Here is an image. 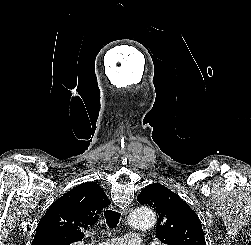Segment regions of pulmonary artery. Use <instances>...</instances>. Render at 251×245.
Wrapping results in <instances>:
<instances>
[{
  "instance_id": "obj_1",
  "label": "pulmonary artery",
  "mask_w": 251,
  "mask_h": 245,
  "mask_svg": "<svg viewBox=\"0 0 251 245\" xmlns=\"http://www.w3.org/2000/svg\"><path fill=\"white\" fill-rule=\"evenodd\" d=\"M141 238L138 235L128 234L120 238L108 240L100 245H140Z\"/></svg>"
}]
</instances>
